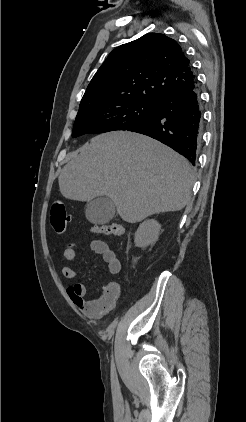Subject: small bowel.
Wrapping results in <instances>:
<instances>
[{
  "instance_id": "c3829d8e",
  "label": "small bowel",
  "mask_w": 246,
  "mask_h": 422,
  "mask_svg": "<svg viewBox=\"0 0 246 422\" xmlns=\"http://www.w3.org/2000/svg\"><path fill=\"white\" fill-rule=\"evenodd\" d=\"M89 248L100 255L107 264L108 270L112 274H118L121 271V263L115 252L110 246L102 240H92ZM63 257L69 261L76 260V251L72 245L62 249ZM61 274L66 279L72 280L78 275V270L69 266L61 268ZM82 279V278H80ZM67 294L71 301L86 314L92 317H102L111 311L121 295V286L116 281H110L101 294L93 299H85L86 287L81 281L72 282L67 288Z\"/></svg>"
}]
</instances>
